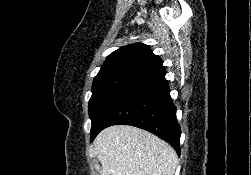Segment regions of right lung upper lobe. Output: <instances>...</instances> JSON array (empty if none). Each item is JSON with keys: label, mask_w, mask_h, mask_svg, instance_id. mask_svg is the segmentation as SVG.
<instances>
[{"label": "right lung upper lobe", "mask_w": 251, "mask_h": 175, "mask_svg": "<svg viewBox=\"0 0 251 175\" xmlns=\"http://www.w3.org/2000/svg\"><path fill=\"white\" fill-rule=\"evenodd\" d=\"M166 73L163 61L148 45L134 43L123 46L111 53L94 81L116 76H130L144 80Z\"/></svg>", "instance_id": "right-lung-upper-lobe-1"}]
</instances>
